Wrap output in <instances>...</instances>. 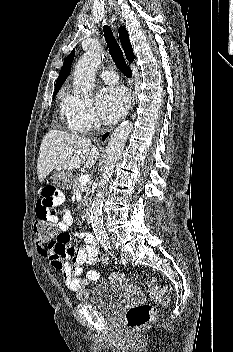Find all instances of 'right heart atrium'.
<instances>
[{"mask_svg":"<svg viewBox=\"0 0 233 352\" xmlns=\"http://www.w3.org/2000/svg\"><path fill=\"white\" fill-rule=\"evenodd\" d=\"M62 110L68 125L74 132H87L98 124V117L89 99L66 93L62 99Z\"/></svg>","mask_w":233,"mask_h":352,"instance_id":"d8ad5b80","label":"right heart atrium"}]
</instances>
